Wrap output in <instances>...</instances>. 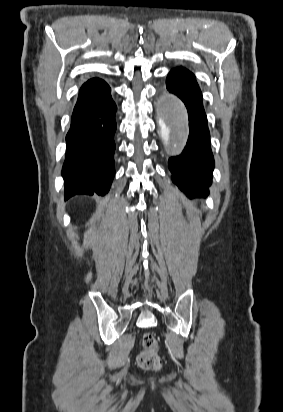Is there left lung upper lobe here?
<instances>
[{
  "label": "left lung upper lobe",
  "mask_w": 283,
  "mask_h": 412,
  "mask_svg": "<svg viewBox=\"0 0 283 412\" xmlns=\"http://www.w3.org/2000/svg\"><path fill=\"white\" fill-rule=\"evenodd\" d=\"M181 69H185V68H183V67H180ZM176 69H179V68H176Z\"/></svg>",
  "instance_id": "left-lung-upper-lobe-1"
}]
</instances>
